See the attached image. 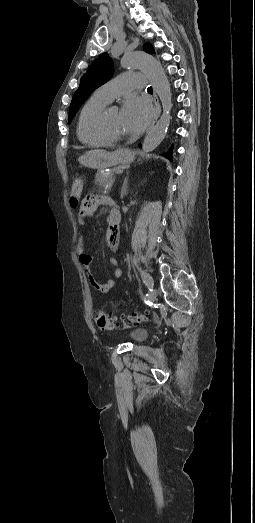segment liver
<instances>
[{"label":"liver","instance_id":"1","mask_svg":"<svg viewBox=\"0 0 255 523\" xmlns=\"http://www.w3.org/2000/svg\"><path fill=\"white\" fill-rule=\"evenodd\" d=\"M101 154H109V152H104V150H91V152H87L85 156H82L83 160H85V166H94L96 158L101 156Z\"/></svg>","mask_w":255,"mask_h":523}]
</instances>
